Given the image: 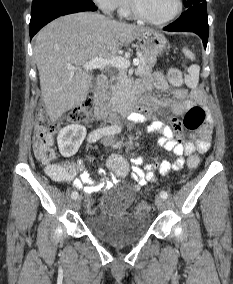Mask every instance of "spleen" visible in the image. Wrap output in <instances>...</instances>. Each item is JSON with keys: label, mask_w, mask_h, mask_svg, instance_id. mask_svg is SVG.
Here are the masks:
<instances>
[{"label": "spleen", "mask_w": 233, "mask_h": 284, "mask_svg": "<svg viewBox=\"0 0 233 284\" xmlns=\"http://www.w3.org/2000/svg\"><path fill=\"white\" fill-rule=\"evenodd\" d=\"M183 52L190 60H195V56L189 49L184 48ZM200 67L198 65H191L188 68V75L185 78L186 85L190 88H195L199 82Z\"/></svg>", "instance_id": "spleen-1"}]
</instances>
